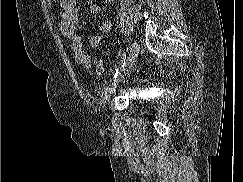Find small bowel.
<instances>
[{
    "label": "small bowel",
    "mask_w": 243,
    "mask_h": 182,
    "mask_svg": "<svg viewBox=\"0 0 243 182\" xmlns=\"http://www.w3.org/2000/svg\"><path fill=\"white\" fill-rule=\"evenodd\" d=\"M113 1L114 0H103L104 3H111ZM60 7L59 30L70 42L76 62L86 68H90L91 58L84 49L81 37L76 33L80 22L77 0H60ZM102 9L103 5L99 3H93L89 7V11L92 15H98ZM109 29V21H105L103 24L99 25L97 27V33L90 37V48H98L102 40L108 35Z\"/></svg>",
    "instance_id": "1"
}]
</instances>
